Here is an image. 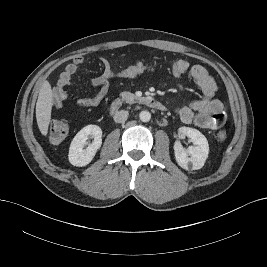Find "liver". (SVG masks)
Wrapping results in <instances>:
<instances>
[{
  "label": "liver",
  "mask_w": 267,
  "mask_h": 267,
  "mask_svg": "<svg viewBox=\"0 0 267 267\" xmlns=\"http://www.w3.org/2000/svg\"><path fill=\"white\" fill-rule=\"evenodd\" d=\"M53 92L48 81H44L36 103L37 125L42 135L46 136L51 120Z\"/></svg>",
  "instance_id": "6515ba94"
}]
</instances>
